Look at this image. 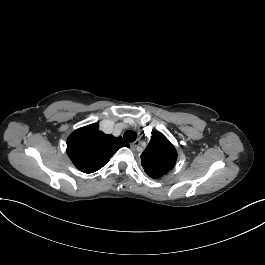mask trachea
<instances>
[{
  "mask_svg": "<svg viewBox=\"0 0 265 265\" xmlns=\"http://www.w3.org/2000/svg\"><path fill=\"white\" fill-rule=\"evenodd\" d=\"M137 138V134L136 132L134 131H126L124 133V139L127 141V142H133L135 139Z\"/></svg>",
  "mask_w": 265,
  "mask_h": 265,
  "instance_id": "trachea-1",
  "label": "trachea"
}]
</instances>
